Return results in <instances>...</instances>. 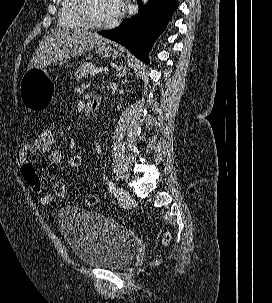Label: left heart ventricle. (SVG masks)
Wrapping results in <instances>:
<instances>
[{
	"label": "left heart ventricle",
	"instance_id": "obj_1",
	"mask_svg": "<svg viewBox=\"0 0 272 303\" xmlns=\"http://www.w3.org/2000/svg\"><path fill=\"white\" fill-rule=\"evenodd\" d=\"M89 10L92 19L98 23L112 20L109 15L107 0H91Z\"/></svg>",
	"mask_w": 272,
	"mask_h": 303
}]
</instances>
